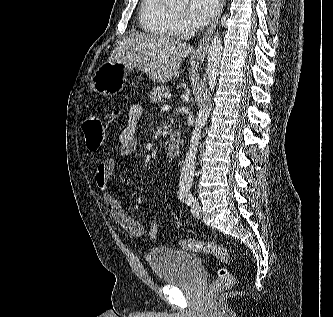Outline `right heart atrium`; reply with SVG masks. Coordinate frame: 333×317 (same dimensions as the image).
<instances>
[{"instance_id": "1", "label": "right heart atrium", "mask_w": 333, "mask_h": 317, "mask_svg": "<svg viewBox=\"0 0 333 317\" xmlns=\"http://www.w3.org/2000/svg\"><path fill=\"white\" fill-rule=\"evenodd\" d=\"M178 30L182 33L188 32L190 30L189 26L181 19L177 20Z\"/></svg>"}]
</instances>
